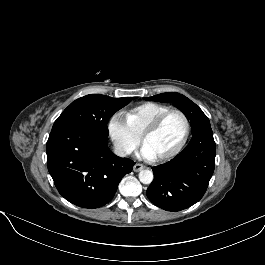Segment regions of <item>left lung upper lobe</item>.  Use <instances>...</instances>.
<instances>
[{"label":"left lung upper lobe","mask_w":265,"mask_h":265,"mask_svg":"<svg viewBox=\"0 0 265 265\" xmlns=\"http://www.w3.org/2000/svg\"><path fill=\"white\" fill-rule=\"evenodd\" d=\"M145 99L148 101L172 103L190 120L192 133L203 126H210V121L203 111L194 102L182 94L176 92L162 93Z\"/></svg>","instance_id":"1"}]
</instances>
